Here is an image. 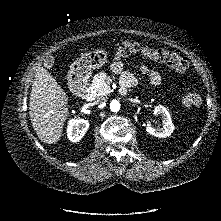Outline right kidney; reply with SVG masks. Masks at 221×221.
<instances>
[{"mask_svg": "<svg viewBox=\"0 0 221 221\" xmlns=\"http://www.w3.org/2000/svg\"><path fill=\"white\" fill-rule=\"evenodd\" d=\"M89 128L88 120L84 119H71L67 126V136L72 142H79Z\"/></svg>", "mask_w": 221, "mask_h": 221, "instance_id": "obj_1", "label": "right kidney"}]
</instances>
